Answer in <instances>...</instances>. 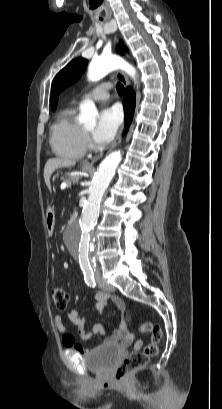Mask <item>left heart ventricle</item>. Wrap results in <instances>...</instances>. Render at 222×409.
<instances>
[{
	"mask_svg": "<svg viewBox=\"0 0 222 409\" xmlns=\"http://www.w3.org/2000/svg\"><path fill=\"white\" fill-rule=\"evenodd\" d=\"M86 130H87L89 133H91V132L94 130V125L87 126V127H86Z\"/></svg>",
	"mask_w": 222,
	"mask_h": 409,
	"instance_id": "obj_1",
	"label": "left heart ventricle"
}]
</instances>
